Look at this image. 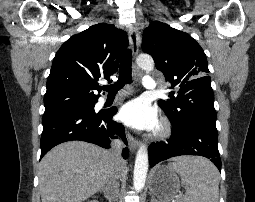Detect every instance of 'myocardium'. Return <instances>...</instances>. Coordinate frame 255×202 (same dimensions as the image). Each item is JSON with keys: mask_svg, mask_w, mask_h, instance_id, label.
Instances as JSON below:
<instances>
[{"mask_svg": "<svg viewBox=\"0 0 255 202\" xmlns=\"http://www.w3.org/2000/svg\"><path fill=\"white\" fill-rule=\"evenodd\" d=\"M171 133V126L167 121H163L159 124L157 127L154 137L157 139H165L167 138Z\"/></svg>", "mask_w": 255, "mask_h": 202, "instance_id": "obj_1", "label": "myocardium"}]
</instances>
